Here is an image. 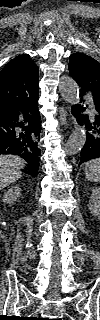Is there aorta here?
Here are the masks:
<instances>
[{
    "instance_id": "1",
    "label": "aorta",
    "mask_w": 100,
    "mask_h": 320,
    "mask_svg": "<svg viewBox=\"0 0 100 320\" xmlns=\"http://www.w3.org/2000/svg\"><path fill=\"white\" fill-rule=\"evenodd\" d=\"M59 92L62 98L70 104L79 103V89L75 80L69 76H63L59 82ZM86 141V129L84 126H78L70 135L66 145L65 152L68 155H75L81 151Z\"/></svg>"
}]
</instances>
